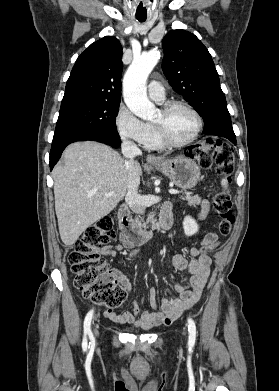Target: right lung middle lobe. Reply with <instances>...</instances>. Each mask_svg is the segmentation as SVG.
Wrapping results in <instances>:
<instances>
[{"label": "right lung middle lobe", "instance_id": "right-lung-middle-lobe-1", "mask_svg": "<svg viewBox=\"0 0 279 391\" xmlns=\"http://www.w3.org/2000/svg\"><path fill=\"white\" fill-rule=\"evenodd\" d=\"M120 102H91L60 109L53 141L103 128H116Z\"/></svg>", "mask_w": 279, "mask_h": 391}]
</instances>
